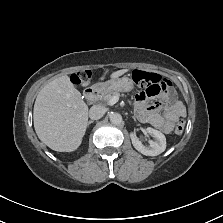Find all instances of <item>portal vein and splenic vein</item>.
<instances>
[{
	"instance_id": "18ae733b",
	"label": "portal vein and splenic vein",
	"mask_w": 223,
	"mask_h": 223,
	"mask_svg": "<svg viewBox=\"0 0 223 223\" xmlns=\"http://www.w3.org/2000/svg\"><path fill=\"white\" fill-rule=\"evenodd\" d=\"M119 98H120L119 94H116V95L112 96L111 99H110V105H113V104L117 103Z\"/></svg>"
}]
</instances>
